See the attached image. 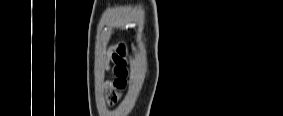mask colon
Masks as SVG:
<instances>
[{"label":"colon","mask_w":283,"mask_h":116,"mask_svg":"<svg viewBox=\"0 0 283 116\" xmlns=\"http://www.w3.org/2000/svg\"><path fill=\"white\" fill-rule=\"evenodd\" d=\"M127 84V75L125 76H117L116 80L114 81V88L109 93V101L113 104L117 103L120 94L118 93V89H122Z\"/></svg>","instance_id":"5ec220e1"}]
</instances>
